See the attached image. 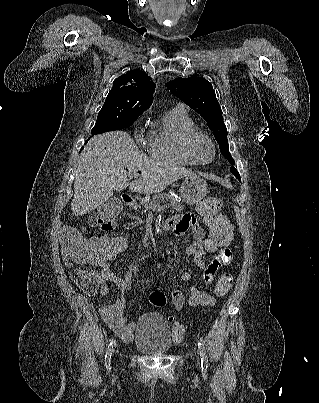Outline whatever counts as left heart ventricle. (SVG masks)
<instances>
[{
    "label": "left heart ventricle",
    "mask_w": 319,
    "mask_h": 403,
    "mask_svg": "<svg viewBox=\"0 0 319 403\" xmlns=\"http://www.w3.org/2000/svg\"><path fill=\"white\" fill-rule=\"evenodd\" d=\"M195 150L198 158L202 161H209L212 157L211 146L203 139L196 142Z\"/></svg>",
    "instance_id": "left-heart-ventricle-1"
}]
</instances>
